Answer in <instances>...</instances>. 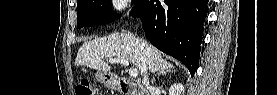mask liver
<instances>
[{"mask_svg": "<svg viewBox=\"0 0 277 95\" xmlns=\"http://www.w3.org/2000/svg\"><path fill=\"white\" fill-rule=\"evenodd\" d=\"M108 58L126 59L139 71L143 58L152 73L173 69V65L162 57L157 48L127 33H114L84 42L78 50L75 64L107 74L111 69L106 62Z\"/></svg>", "mask_w": 277, "mask_h": 95, "instance_id": "1", "label": "liver"}]
</instances>
